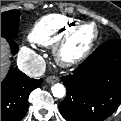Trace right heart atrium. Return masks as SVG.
Wrapping results in <instances>:
<instances>
[{"mask_svg":"<svg viewBox=\"0 0 121 121\" xmlns=\"http://www.w3.org/2000/svg\"><path fill=\"white\" fill-rule=\"evenodd\" d=\"M21 57L24 59V63H27L33 57V52L30 49L23 47Z\"/></svg>","mask_w":121,"mask_h":121,"instance_id":"1","label":"right heart atrium"}]
</instances>
